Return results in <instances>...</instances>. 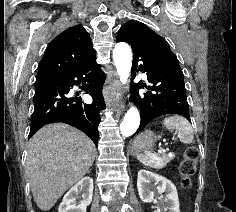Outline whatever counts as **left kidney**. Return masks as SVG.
Wrapping results in <instances>:
<instances>
[{"label": "left kidney", "instance_id": "1", "mask_svg": "<svg viewBox=\"0 0 236 212\" xmlns=\"http://www.w3.org/2000/svg\"><path fill=\"white\" fill-rule=\"evenodd\" d=\"M156 185L159 193L166 194L164 199L166 205L165 210L168 212H180L177 189L169 179L144 169L138 172L137 188L140 199L143 202L150 203L156 201L153 192Z\"/></svg>", "mask_w": 236, "mask_h": 212}]
</instances>
